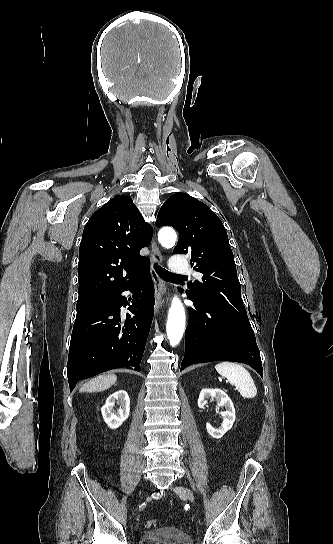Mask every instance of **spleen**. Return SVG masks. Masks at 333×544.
<instances>
[{"label": "spleen", "mask_w": 333, "mask_h": 544, "mask_svg": "<svg viewBox=\"0 0 333 544\" xmlns=\"http://www.w3.org/2000/svg\"><path fill=\"white\" fill-rule=\"evenodd\" d=\"M216 371L225 377L230 384L236 386L244 398H254L257 388L249 372L240 364L221 362L215 366Z\"/></svg>", "instance_id": "obj_1"}]
</instances>
